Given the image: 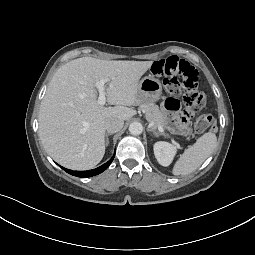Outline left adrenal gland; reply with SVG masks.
<instances>
[{"label": "left adrenal gland", "instance_id": "1", "mask_svg": "<svg viewBox=\"0 0 255 255\" xmlns=\"http://www.w3.org/2000/svg\"><path fill=\"white\" fill-rule=\"evenodd\" d=\"M148 131H149V132H153V134H154L156 137H158V136L160 135L159 132H157V131H155V130H153V129H151V128H148Z\"/></svg>", "mask_w": 255, "mask_h": 255}]
</instances>
